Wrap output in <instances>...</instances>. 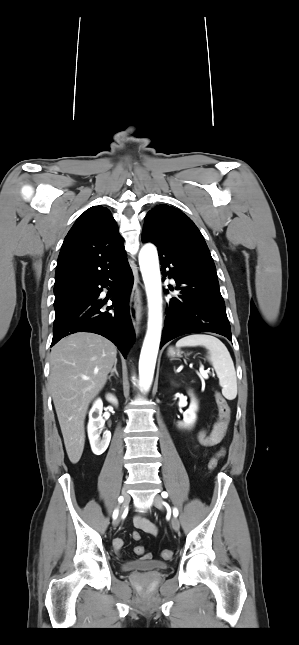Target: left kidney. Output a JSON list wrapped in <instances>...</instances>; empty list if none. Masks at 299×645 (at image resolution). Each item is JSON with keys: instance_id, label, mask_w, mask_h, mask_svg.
<instances>
[{"instance_id": "1", "label": "left kidney", "mask_w": 299, "mask_h": 645, "mask_svg": "<svg viewBox=\"0 0 299 645\" xmlns=\"http://www.w3.org/2000/svg\"><path fill=\"white\" fill-rule=\"evenodd\" d=\"M191 403L189 408L183 413V421L178 423L179 427L190 428L196 421V411L198 410V404L192 393Z\"/></svg>"}]
</instances>
